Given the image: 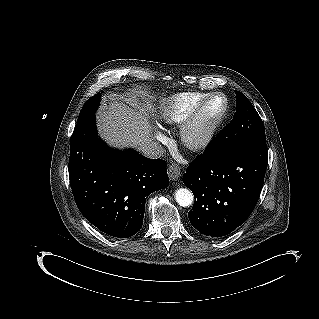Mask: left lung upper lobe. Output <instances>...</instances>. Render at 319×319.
<instances>
[{"label": "left lung upper lobe", "instance_id": "1", "mask_svg": "<svg viewBox=\"0 0 319 319\" xmlns=\"http://www.w3.org/2000/svg\"><path fill=\"white\" fill-rule=\"evenodd\" d=\"M237 96V110L230 124H228L204 151L207 156H214L231 149L266 143L263 122L256 109L239 91Z\"/></svg>", "mask_w": 319, "mask_h": 319}]
</instances>
